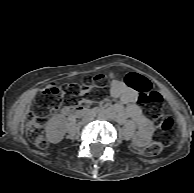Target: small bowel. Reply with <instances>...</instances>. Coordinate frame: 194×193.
I'll list each match as a JSON object with an SVG mask.
<instances>
[{"instance_id": "c3829d8e", "label": "small bowel", "mask_w": 194, "mask_h": 193, "mask_svg": "<svg viewBox=\"0 0 194 193\" xmlns=\"http://www.w3.org/2000/svg\"><path fill=\"white\" fill-rule=\"evenodd\" d=\"M111 77L110 94L114 98H118L121 102V105L114 107L117 119L120 122L130 119L136 123L138 126L136 142L139 145H145L151 137L153 127L142 109L136 104L138 92L126 82L115 79L113 75Z\"/></svg>"}]
</instances>
